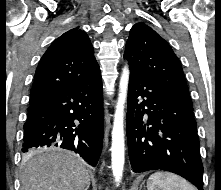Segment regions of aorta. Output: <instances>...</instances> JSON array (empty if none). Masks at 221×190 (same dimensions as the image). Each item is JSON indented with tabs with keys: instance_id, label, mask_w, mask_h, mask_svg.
Returning <instances> with one entry per match:
<instances>
[{
	"instance_id": "762f6f07",
	"label": "aorta",
	"mask_w": 221,
	"mask_h": 190,
	"mask_svg": "<svg viewBox=\"0 0 221 190\" xmlns=\"http://www.w3.org/2000/svg\"><path fill=\"white\" fill-rule=\"evenodd\" d=\"M128 81L129 69L127 66H125L120 79V91L114 114L111 145V167L114 179L118 184L122 179L125 161L124 105L127 97Z\"/></svg>"
}]
</instances>
